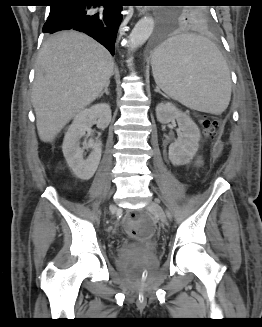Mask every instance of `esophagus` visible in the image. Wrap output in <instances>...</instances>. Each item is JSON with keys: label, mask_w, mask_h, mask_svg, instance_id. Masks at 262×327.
<instances>
[{"label": "esophagus", "mask_w": 262, "mask_h": 327, "mask_svg": "<svg viewBox=\"0 0 262 327\" xmlns=\"http://www.w3.org/2000/svg\"><path fill=\"white\" fill-rule=\"evenodd\" d=\"M147 11H148V8H146V7L138 8L139 15H143V14L147 13Z\"/></svg>", "instance_id": "obj_1"}]
</instances>
